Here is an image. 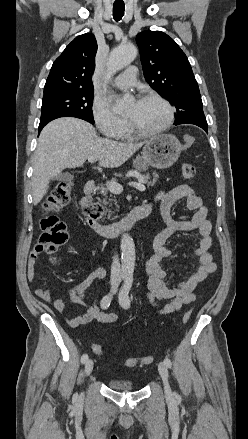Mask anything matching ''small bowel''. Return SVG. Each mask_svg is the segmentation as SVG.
I'll list each match as a JSON object with an SVG mask.
<instances>
[{
    "instance_id": "small-bowel-1",
    "label": "small bowel",
    "mask_w": 248,
    "mask_h": 439,
    "mask_svg": "<svg viewBox=\"0 0 248 439\" xmlns=\"http://www.w3.org/2000/svg\"><path fill=\"white\" fill-rule=\"evenodd\" d=\"M184 199L186 208L193 211V216L188 220H176L172 217L174 204ZM159 202L161 216L166 226L154 238V254L145 261L144 268L149 276L147 299L154 307H158V302L163 299L169 300L168 304L158 309V313L166 315L180 311L183 306L190 304L196 298L195 290L208 275L216 271V264L210 252L212 245L211 231L212 224L207 218L208 210L203 205L202 199L188 185H179L167 191H161L155 195L153 201L145 204L149 209L153 203ZM195 232L199 239L197 248L193 255L198 259L199 266L189 277L176 285L167 282L168 273L163 268V261L172 256L173 252L166 247L169 238L179 233ZM39 253L33 250L28 259L27 277L30 282L35 279V265ZM63 256H59L57 263L60 265ZM106 270L98 268L91 272L86 278L70 289L71 299L80 305L84 312L74 318H68L67 323L71 327H80L90 322L109 324L117 320L114 313L103 312L96 304L86 300V290L93 287L96 283L104 279ZM35 294L43 301L49 303L57 312L63 313L65 306L63 301L51 294L48 289L36 288Z\"/></svg>"
}]
</instances>
